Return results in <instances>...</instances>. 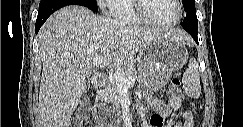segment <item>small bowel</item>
Here are the masks:
<instances>
[{"mask_svg": "<svg viewBox=\"0 0 243 127\" xmlns=\"http://www.w3.org/2000/svg\"><path fill=\"white\" fill-rule=\"evenodd\" d=\"M147 103L154 109L149 121L150 127H162L168 120L173 121L174 127H193V115L184 107L182 97L171 96L168 102H164L148 96ZM175 110L180 111V117H173Z\"/></svg>", "mask_w": 243, "mask_h": 127, "instance_id": "1", "label": "small bowel"}]
</instances>
